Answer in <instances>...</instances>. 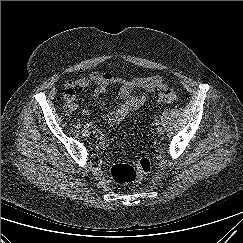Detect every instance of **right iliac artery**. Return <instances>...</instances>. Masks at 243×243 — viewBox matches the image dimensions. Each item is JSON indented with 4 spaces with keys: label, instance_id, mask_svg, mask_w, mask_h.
<instances>
[{
    "label": "right iliac artery",
    "instance_id": "1",
    "mask_svg": "<svg viewBox=\"0 0 243 243\" xmlns=\"http://www.w3.org/2000/svg\"><path fill=\"white\" fill-rule=\"evenodd\" d=\"M89 126H90L89 124H85V125H84L85 128H88Z\"/></svg>",
    "mask_w": 243,
    "mask_h": 243
}]
</instances>
